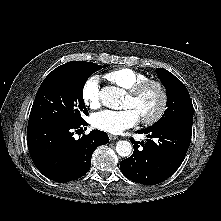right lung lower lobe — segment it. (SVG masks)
I'll return each mask as SVG.
<instances>
[{"instance_id":"1","label":"right lung lower lobe","mask_w":221,"mask_h":221,"mask_svg":"<svg viewBox=\"0 0 221 221\" xmlns=\"http://www.w3.org/2000/svg\"><path fill=\"white\" fill-rule=\"evenodd\" d=\"M88 125L47 124L27 128V144L30 156L37 169L49 179L67 182L84 176L90 169L95 148L109 142L108 135L93 130L78 140L74 132Z\"/></svg>"}]
</instances>
